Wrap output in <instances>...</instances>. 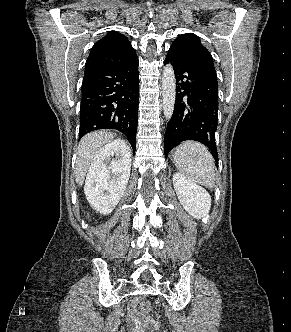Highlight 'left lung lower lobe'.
I'll list each match as a JSON object with an SVG mask.
<instances>
[{"mask_svg": "<svg viewBox=\"0 0 291 332\" xmlns=\"http://www.w3.org/2000/svg\"><path fill=\"white\" fill-rule=\"evenodd\" d=\"M164 64L172 65L176 78L174 112L164 138L165 157L178 143L195 140L207 146L218 162V82L212 58L186 56L170 48Z\"/></svg>", "mask_w": 291, "mask_h": 332, "instance_id": "left-lung-lower-lobe-1", "label": "left lung lower lobe"}]
</instances>
